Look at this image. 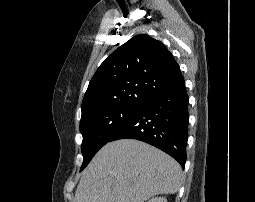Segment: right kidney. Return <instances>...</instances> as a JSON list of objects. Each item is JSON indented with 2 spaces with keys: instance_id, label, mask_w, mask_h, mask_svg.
I'll return each instance as SVG.
<instances>
[{
  "instance_id": "ca27d5eb",
  "label": "right kidney",
  "mask_w": 255,
  "mask_h": 202,
  "mask_svg": "<svg viewBox=\"0 0 255 202\" xmlns=\"http://www.w3.org/2000/svg\"><path fill=\"white\" fill-rule=\"evenodd\" d=\"M148 202H167L165 197H155L150 199Z\"/></svg>"
}]
</instances>
